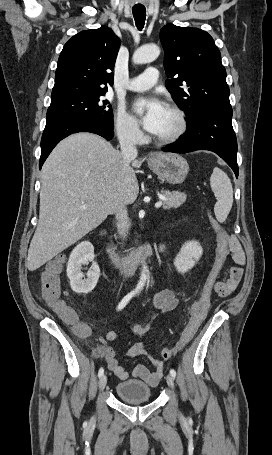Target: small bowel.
I'll use <instances>...</instances> for the list:
<instances>
[{
	"mask_svg": "<svg viewBox=\"0 0 272 455\" xmlns=\"http://www.w3.org/2000/svg\"><path fill=\"white\" fill-rule=\"evenodd\" d=\"M164 250V248H161ZM229 251L231 253L234 265L230 267L229 274L225 280H217L214 284V292L220 297L229 296L238 286L243 275V266L246 261L245 253L235 236H231L229 239ZM179 302L178 294L170 289L162 290L156 293L151 300L152 306L158 310L169 311L177 306ZM147 323L138 326L134 330V335L139 338L146 328ZM107 339L111 343H116L118 336L115 332H109L107 334ZM98 354L103 356L107 367L111 370L114 375L120 380L124 381L129 378L128 372L119 365L115 350L112 347L103 346L99 349ZM130 357L137 356H148L147 352L144 349L143 344L140 341H136L128 351ZM152 364L154 370H149L146 366L138 364L134 367L132 375L135 378L143 380L150 385H156L163 376L164 368L161 362L153 360Z\"/></svg>",
	"mask_w": 272,
	"mask_h": 455,
	"instance_id": "obj_1",
	"label": "small bowel"
}]
</instances>
